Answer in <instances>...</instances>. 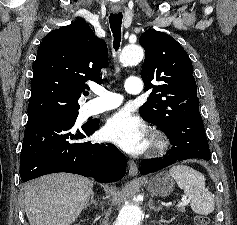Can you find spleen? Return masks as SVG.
<instances>
[{"instance_id": "1", "label": "spleen", "mask_w": 237, "mask_h": 225, "mask_svg": "<svg viewBox=\"0 0 237 225\" xmlns=\"http://www.w3.org/2000/svg\"><path fill=\"white\" fill-rule=\"evenodd\" d=\"M170 175L176 180L179 188L191 200L192 210L200 215H208L215 209V199L205 186V177L199 171L183 164L170 168Z\"/></svg>"}]
</instances>
